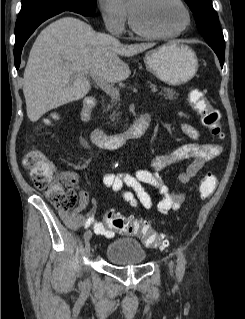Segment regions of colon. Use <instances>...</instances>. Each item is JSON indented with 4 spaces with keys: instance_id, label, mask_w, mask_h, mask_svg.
<instances>
[{
    "instance_id": "1",
    "label": "colon",
    "mask_w": 245,
    "mask_h": 319,
    "mask_svg": "<svg viewBox=\"0 0 245 319\" xmlns=\"http://www.w3.org/2000/svg\"><path fill=\"white\" fill-rule=\"evenodd\" d=\"M190 103L210 133L215 137L222 138L224 132L220 122V114L204 93L200 90H193L190 93ZM24 163L36 188L45 193L55 208L62 211L75 208L78 198L71 184L70 173H57L54 165L38 151H29L25 156ZM216 184V177L213 174H207L200 184L202 197L210 196ZM105 223L113 230L138 236L148 248H159L168 243L151 228L147 221L142 219L109 211L105 215Z\"/></svg>"
}]
</instances>
